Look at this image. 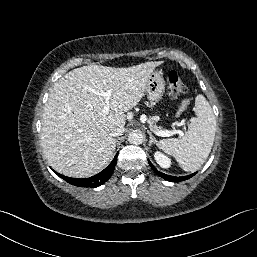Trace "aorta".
<instances>
[{"label":"aorta","mask_w":257,"mask_h":257,"mask_svg":"<svg viewBox=\"0 0 257 257\" xmlns=\"http://www.w3.org/2000/svg\"><path fill=\"white\" fill-rule=\"evenodd\" d=\"M143 139H144V136L140 130H133L128 135V141L134 145L141 144L143 142Z\"/></svg>","instance_id":"762f6f07"}]
</instances>
